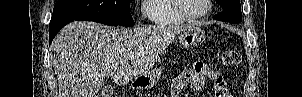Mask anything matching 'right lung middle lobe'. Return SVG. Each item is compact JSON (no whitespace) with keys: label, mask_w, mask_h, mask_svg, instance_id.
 <instances>
[{"label":"right lung middle lobe","mask_w":302,"mask_h":97,"mask_svg":"<svg viewBox=\"0 0 302 97\" xmlns=\"http://www.w3.org/2000/svg\"><path fill=\"white\" fill-rule=\"evenodd\" d=\"M130 2L132 0H58L50 24L70 18L91 17L130 27L134 25Z\"/></svg>","instance_id":"dd1d6c3e"}]
</instances>
